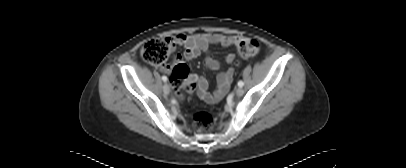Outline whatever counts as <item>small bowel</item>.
Listing matches in <instances>:
<instances>
[{
	"label": "small bowel",
	"instance_id": "small-bowel-1",
	"mask_svg": "<svg viewBox=\"0 0 406 168\" xmlns=\"http://www.w3.org/2000/svg\"><path fill=\"white\" fill-rule=\"evenodd\" d=\"M245 41L244 37L236 35H223L219 33H197L192 35L178 34L173 38L172 50L176 46H182L184 51L182 54H176L173 59V67L170 64H162L160 69L167 73L173 74V68L178 64H185V61H191L200 56L201 53H206V67L210 70H218L221 66L220 61L209 55L211 45H220L222 47H238L239 44ZM234 54L225 55L224 62L227 64L233 63ZM234 70L228 68L226 71L217 76V87L213 93L208 92V83L203 77L196 74L188 73L185 78V85L196 84L198 96L209 104L220 101L227 93L233 80ZM183 80V79H180Z\"/></svg>",
	"mask_w": 406,
	"mask_h": 168
}]
</instances>
